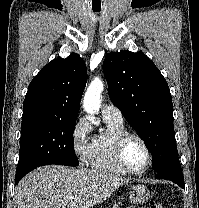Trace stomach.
Here are the masks:
<instances>
[{"label":"stomach","mask_w":199,"mask_h":208,"mask_svg":"<svg viewBox=\"0 0 199 208\" xmlns=\"http://www.w3.org/2000/svg\"><path fill=\"white\" fill-rule=\"evenodd\" d=\"M150 197V191L145 185H132L129 191V198L135 204L145 203ZM130 208V207H128Z\"/></svg>","instance_id":"obj_1"}]
</instances>
